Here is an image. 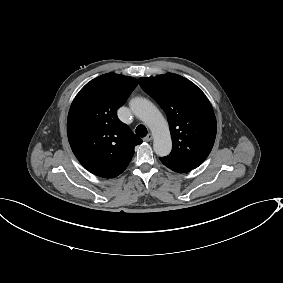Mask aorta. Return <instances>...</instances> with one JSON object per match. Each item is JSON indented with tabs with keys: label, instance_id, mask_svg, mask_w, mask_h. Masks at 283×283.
<instances>
[{
	"label": "aorta",
	"instance_id": "762f6f07",
	"mask_svg": "<svg viewBox=\"0 0 283 283\" xmlns=\"http://www.w3.org/2000/svg\"><path fill=\"white\" fill-rule=\"evenodd\" d=\"M133 113L151 130L153 148L157 155L167 156L172 149L169 126L157 107L145 98H134L130 101Z\"/></svg>",
	"mask_w": 283,
	"mask_h": 283
}]
</instances>
